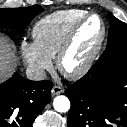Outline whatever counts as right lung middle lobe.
<instances>
[{"label": "right lung middle lobe", "mask_w": 127, "mask_h": 127, "mask_svg": "<svg viewBox=\"0 0 127 127\" xmlns=\"http://www.w3.org/2000/svg\"><path fill=\"white\" fill-rule=\"evenodd\" d=\"M43 9L39 5L24 8L0 9V28L23 31L31 20Z\"/></svg>", "instance_id": "dd1d6c3e"}]
</instances>
